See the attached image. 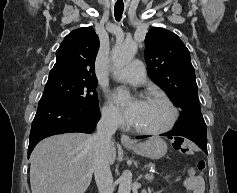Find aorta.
<instances>
[{"instance_id": "1", "label": "aorta", "mask_w": 237, "mask_h": 193, "mask_svg": "<svg viewBox=\"0 0 237 193\" xmlns=\"http://www.w3.org/2000/svg\"><path fill=\"white\" fill-rule=\"evenodd\" d=\"M137 44L134 41H125L116 44L112 51V62L115 68L120 69L128 64L134 57ZM132 184V173L129 170L123 171L119 178L118 193H130Z\"/></svg>"}]
</instances>
